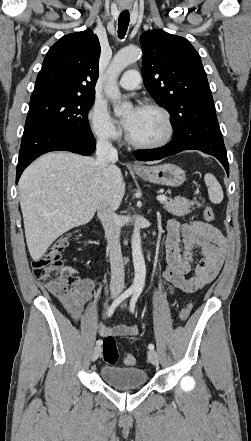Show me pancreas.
<instances>
[{
    "mask_svg": "<svg viewBox=\"0 0 251 441\" xmlns=\"http://www.w3.org/2000/svg\"><path fill=\"white\" fill-rule=\"evenodd\" d=\"M168 193H170V191H168ZM162 204H163V208L170 214L175 216H184L191 212L196 202L189 201L182 197H177L175 199H169L165 202H162Z\"/></svg>",
    "mask_w": 251,
    "mask_h": 441,
    "instance_id": "1",
    "label": "pancreas"
}]
</instances>
